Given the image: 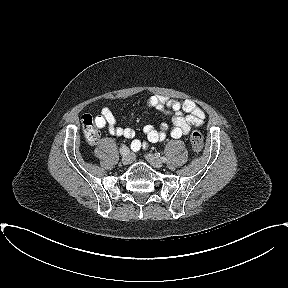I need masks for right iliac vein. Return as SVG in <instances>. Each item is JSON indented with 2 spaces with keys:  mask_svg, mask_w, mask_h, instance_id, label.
I'll return each mask as SVG.
<instances>
[{
  "mask_svg": "<svg viewBox=\"0 0 288 288\" xmlns=\"http://www.w3.org/2000/svg\"><path fill=\"white\" fill-rule=\"evenodd\" d=\"M132 160H133V156L130 153H129V157L128 158H123V157L121 158V162H122L123 165L130 164L132 162Z\"/></svg>",
  "mask_w": 288,
  "mask_h": 288,
  "instance_id": "63e3f726",
  "label": "right iliac vein"
}]
</instances>
